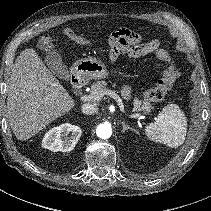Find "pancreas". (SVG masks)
<instances>
[{"mask_svg":"<svg viewBox=\"0 0 211 211\" xmlns=\"http://www.w3.org/2000/svg\"><path fill=\"white\" fill-rule=\"evenodd\" d=\"M110 91L108 89L107 83L105 81H97L93 83L91 86L90 96H94L95 99L93 101H100L107 92ZM133 111H146L150 112L153 109V106L149 102L141 101L137 97L133 100Z\"/></svg>","mask_w":211,"mask_h":211,"instance_id":"1","label":"pancreas"}]
</instances>
